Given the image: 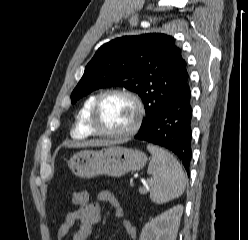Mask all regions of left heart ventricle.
I'll list each match as a JSON object with an SVG mask.
<instances>
[{"instance_id":"b2bd125f","label":"left heart ventricle","mask_w":248,"mask_h":240,"mask_svg":"<svg viewBox=\"0 0 248 240\" xmlns=\"http://www.w3.org/2000/svg\"><path fill=\"white\" fill-rule=\"evenodd\" d=\"M136 116L134 104L126 97L113 95L102 103L98 115V127L106 132L128 129Z\"/></svg>"}]
</instances>
